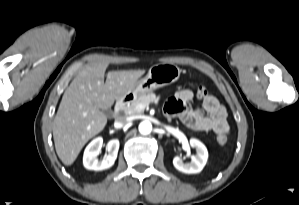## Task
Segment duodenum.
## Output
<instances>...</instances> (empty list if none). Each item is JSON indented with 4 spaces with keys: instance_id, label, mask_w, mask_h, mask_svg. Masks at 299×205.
<instances>
[{
    "instance_id": "410a0bca",
    "label": "duodenum",
    "mask_w": 299,
    "mask_h": 205,
    "mask_svg": "<svg viewBox=\"0 0 299 205\" xmlns=\"http://www.w3.org/2000/svg\"><path fill=\"white\" fill-rule=\"evenodd\" d=\"M127 98H124V99H121V100H119L116 104H115V112L117 113V112H119L121 109H122V107L124 106V104L127 102Z\"/></svg>"
}]
</instances>
